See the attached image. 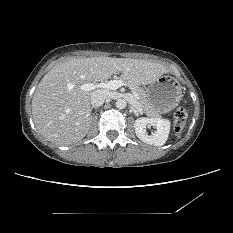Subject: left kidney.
Here are the masks:
<instances>
[{"label":"left kidney","instance_id":"5707ae66","mask_svg":"<svg viewBox=\"0 0 233 233\" xmlns=\"http://www.w3.org/2000/svg\"><path fill=\"white\" fill-rule=\"evenodd\" d=\"M151 126L155 127L156 131L149 135L147 127ZM134 128L136 136L143 142L154 146H162L168 139L170 122L167 119L142 117L135 120Z\"/></svg>","mask_w":233,"mask_h":233}]
</instances>
